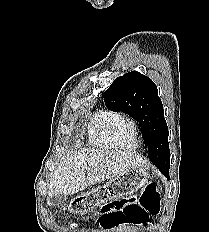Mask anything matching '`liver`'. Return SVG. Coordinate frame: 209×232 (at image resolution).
Listing matches in <instances>:
<instances>
[{"instance_id":"1","label":"liver","mask_w":209,"mask_h":232,"mask_svg":"<svg viewBox=\"0 0 209 232\" xmlns=\"http://www.w3.org/2000/svg\"><path fill=\"white\" fill-rule=\"evenodd\" d=\"M146 162L131 152L82 149L63 159L49 183V198L72 195L129 170L145 166Z\"/></svg>"}]
</instances>
